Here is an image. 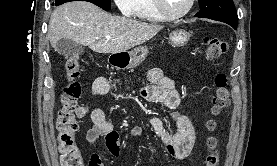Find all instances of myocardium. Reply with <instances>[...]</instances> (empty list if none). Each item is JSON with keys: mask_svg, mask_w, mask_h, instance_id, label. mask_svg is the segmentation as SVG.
<instances>
[{"mask_svg": "<svg viewBox=\"0 0 277 166\" xmlns=\"http://www.w3.org/2000/svg\"><path fill=\"white\" fill-rule=\"evenodd\" d=\"M195 0H188L186 7L179 13H170L166 6L164 0H154L155 7L158 13L165 19L169 21L179 20L185 17L193 8Z\"/></svg>", "mask_w": 277, "mask_h": 166, "instance_id": "f54148a6", "label": "myocardium"}]
</instances>
